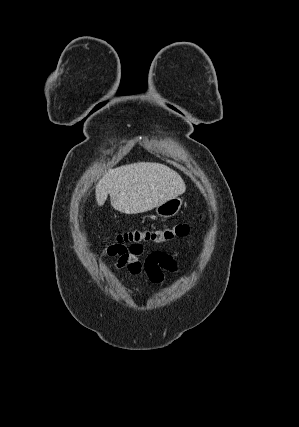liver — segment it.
I'll use <instances>...</instances> for the list:
<instances>
[{
  "label": "liver",
  "mask_w": 299,
  "mask_h": 427,
  "mask_svg": "<svg viewBox=\"0 0 299 427\" xmlns=\"http://www.w3.org/2000/svg\"><path fill=\"white\" fill-rule=\"evenodd\" d=\"M186 185L169 167L138 162L110 169L96 185L95 195L102 206L108 194L114 209L125 214L143 213L183 194Z\"/></svg>",
  "instance_id": "1"
}]
</instances>
